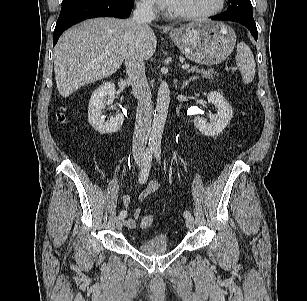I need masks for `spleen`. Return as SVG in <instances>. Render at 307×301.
<instances>
[{
  "mask_svg": "<svg viewBox=\"0 0 307 301\" xmlns=\"http://www.w3.org/2000/svg\"><path fill=\"white\" fill-rule=\"evenodd\" d=\"M236 63L240 69L244 84H249L255 76V60L251 49L245 42H240L237 45Z\"/></svg>",
  "mask_w": 307,
  "mask_h": 301,
  "instance_id": "spleen-1",
  "label": "spleen"
}]
</instances>
